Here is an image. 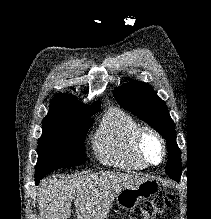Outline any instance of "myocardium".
Masks as SVG:
<instances>
[{
  "label": "myocardium",
  "mask_w": 211,
  "mask_h": 219,
  "mask_svg": "<svg viewBox=\"0 0 211 219\" xmlns=\"http://www.w3.org/2000/svg\"><path fill=\"white\" fill-rule=\"evenodd\" d=\"M152 136L154 137L158 143L160 144L161 147V156L158 162H152L150 161L144 154L142 145L144 138L146 136ZM134 149L136 152V155L138 158L146 165V166H158L162 164L165 160L166 154H167V146H166V141L164 137L161 135L160 132H158L155 128L151 126H141L134 138Z\"/></svg>",
  "instance_id": "obj_1"
}]
</instances>
